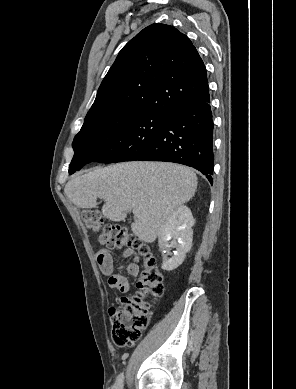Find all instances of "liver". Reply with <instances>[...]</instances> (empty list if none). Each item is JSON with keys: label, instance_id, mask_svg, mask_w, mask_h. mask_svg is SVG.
I'll return each mask as SVG.
<instances>
[{"label": "liver", "instance_id": "6515ba94", "mask_svg": "<svg viewBox=\"0 0 296 389\" xmlns=\"http://www.w3.org/2000/svg\"><path fill=\"white\" fill-rule=\"evenodd\" d=\"M197 183L194 171L182 165L127 162L76 175L64 193L80 208H94L97 198L103 199V216L115 222L136 210L131 230L141 241L152 243L168 215L194 196Z\"/></svg>", "mask_w": 296, "mask_h": 389}]
</instances>
